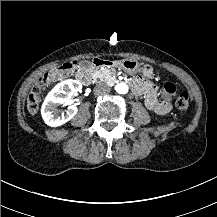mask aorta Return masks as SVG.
I'll return each instance as SVG.
<instances>
[{
    "label": "aorta",
    "mask_w": 217,
    "mask_h": 217,
    "mask_svg": "<svg viewBox=\"0 0 217 217\" xmlns=\"http://www.w3.org/2000/svg\"><path fill=\"white\" fill-rule=\"evenodd\" d=\"M116 91L118 94H127L129 92V86L127 84H118L116 86Z\"/></svg>",
    "instance_id": "1"
}]
</instances>
